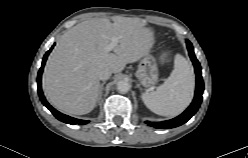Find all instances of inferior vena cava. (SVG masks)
<instances>
[{
  "label": "inferior vena cava",
  "instance_id": "obj_1",
  "mask_svg": "<svg viewBox=\"0 0 248 158\" xmlns=\"http://www.w3.org/2000/svg\"><path fill=\"white\" fill-rule=\"evenodd\" d=\"M111 74H112V70H110L109 68H105L101 70V72L99 73V79L103 81L108 80Z\"/></svg>",
  "mask_w": 248,
  "mask_h": 158
}]
</instances>
